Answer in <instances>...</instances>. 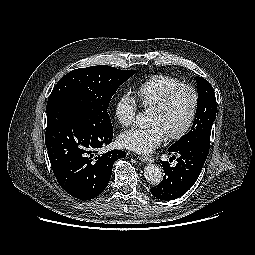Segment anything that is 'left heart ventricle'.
Returning <instances> with one entry per match:
<instances>
[{
    "mask_svg": "<svg viewBox=\"0 0 255 255\" xmlns=\"http://www.w3.org/2000/svg\"><path fill=\"white\" fill-rule=\"evenodd\" d=\"M193 97L188 90L179 91L164 111L152 109L149 124H158L165 134L179 131L187 122L192 110Z\"/></svg>",
    "mask_w": 255,
    "mask_h": 255,
    "instance_id": "obj_1",
    "label": "left heart ventricle"
}]
</instances>
